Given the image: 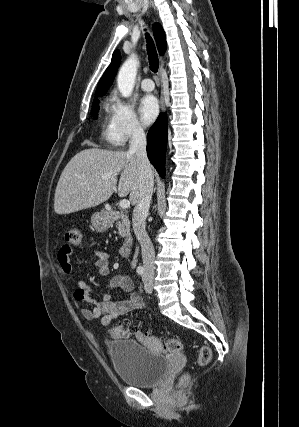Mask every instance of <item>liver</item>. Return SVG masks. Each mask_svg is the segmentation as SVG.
<instances>
[{"instance_id": "6515ba94", "label": "liver", "mask_w": 299, "mask_h": 427, "mask_svg": "<svg viewBox=\"0 0 299 427\" xmlns=\"http://www.w3.org/2000/svg\"><path fill=\"white\" fill-rule=\"evenodd\" d=\"M110 174L109 179H103ZM118 195L129 194L131 204L140 195V179L136 155L126 151H109L98 148L77 153L66 165L59 178L54 199L57 214H70L97 206L108 200L116 190Z\"/></svg>"}]
</instances>
